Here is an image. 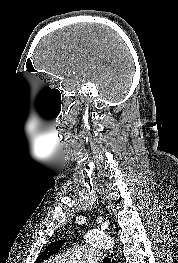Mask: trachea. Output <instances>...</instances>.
Wrapping results in <instances>:
<instances>
[{
    "mask_svg": "<svg viewBox=\"0 0 178 263\" xmlns=\"http://www.w3.org/2000/svg\"><path fill=\"white\" fill-rule=\"evenodd\" d=\"M104 263H111V259L108 257L104 258Z\"/></svg>",
    "mask_w": 178,
    "mask_h": 263,
    "instance_id": "3493384b",
    "label": "trachea"
}]
</instances>
